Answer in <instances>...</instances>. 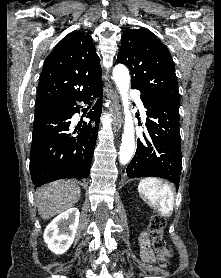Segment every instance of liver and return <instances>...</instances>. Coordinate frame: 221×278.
I'll return each mask as SVG.
<instances>
[{
  "label": "liver",
  "mask_w": 221,
  "mask_h": 278,
  "mask_svg": "<svg viewBox=\"0 0 221 278\" xmlns=\"http://www.w3.org/2000/svg\"><path fill=\"white\" fill-rule=\"evenodd\" d=\"M81 190L75 182L60 180L40 189L36 195L39 215L50 219L73 207L80 199Z\"/></svg>",
  "instance_id": "1"
}]
</instances>
